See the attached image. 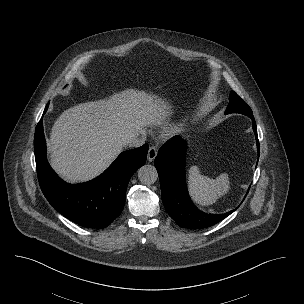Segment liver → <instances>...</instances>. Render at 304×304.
I'll list each match as a JSON object with an SVG mask.
<instances>
[{
	"instance_id": "obj_1",
	"label": "liver",
	"mask_w": 304,
	"mask_h": 304,
	"mask_svg": "<svg viewBox=\"0 0 304 304\" xmlns=\"http://www.w3.org/2000/svg\"><path fill=\"white\" fill-rule=\"evenodd\" d=\"M170 108L161 98L135 89L71 107L52 127L50 164L69 182L90 180L112 163L133 131L162 124Z\"/></svg>"
}]
</instances>
